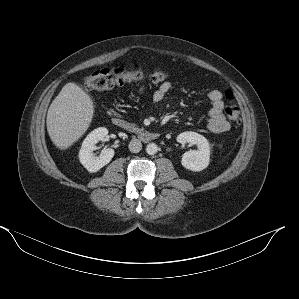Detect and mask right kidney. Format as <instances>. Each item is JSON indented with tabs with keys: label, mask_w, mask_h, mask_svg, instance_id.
<instances>
[{
	"label": "right kidney",
	"mask_w": 299,
	"mask_h": 299,
	"mask_svg": "<svg viewBox=\"0 0 299 299\" xmlns=\"http://www.w3.org/2000/svg\"><path fill=\"white\" fill-rule=\"evenodd\" d=\"M107 135L108 129L100 127L93 130L82 143L79 160L89 172H97L107 165L114 156L115 152L112 148H104L99 156L93 153L97 149L96 144L99 141H104Z\"/></svg>",
	"instance_id": "right-kidney-1"
}]
</instances>
